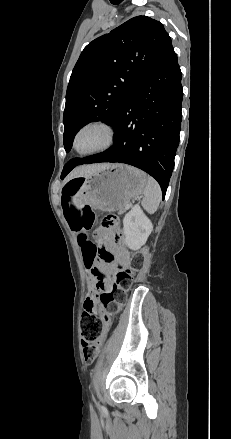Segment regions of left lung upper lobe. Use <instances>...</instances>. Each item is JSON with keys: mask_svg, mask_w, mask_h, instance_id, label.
<instances>
[{"mask_svg": "<svg viewBox=\"0 0 231 439\" xmlns=\"http://www.w3.org/2000/svg\"><path fill=\"white\" fill-rule=\"evenodd\" d=\"M171 48L164 26L147 16L134 17L90 42L67 88L63 116L66 152L84 125L93 121L112 125L131 90ZM68 164L61 178L69 173Z\"/></svg>", "mask_w": 231, "mask_h": 439, "instance_id": "5c2ea615", "label": "left lung upper lobe"}]
</instances>
